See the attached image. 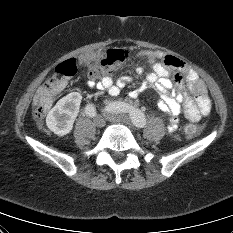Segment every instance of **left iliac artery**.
Instances as JSON below:
<instances>
[{
    "mask_svg": "<svg viewBox=\"0 0 233 233\" xmlns=\"http://www.w3.org/2000/svg\"><path fill=\"white\" fill-rule=\"evenodd\" d=\"M106 110L113 113H129L133 124L138 128H142L146 124L144 114L139 109H136L127 103L112 102L106 106Z\"/></svg>",
    "mask_w": 233,
    "mask_h": 233,
    "instance_id": "obj_1",
    "label": "left iliac artery"
}]
</instances>
